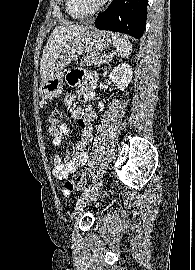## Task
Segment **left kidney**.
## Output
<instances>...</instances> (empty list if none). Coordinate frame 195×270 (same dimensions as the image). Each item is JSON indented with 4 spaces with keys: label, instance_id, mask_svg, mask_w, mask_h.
<instances>
[{
    "label": "left kidney",
    "instance_id": "1",
    "mask_svg": "<svg viewBox=\"0 0 195 270\" xmlns=\"http://www.w3.org/2000/svg\"><path fill=\"white\" fill-rule=\"evenodd\" d=\"M132 76L133 71L131 66L126 63H122L113 68L109 75V78L119 90L123 91L128 87L129 83L131 82ZM98 108L100 111H103L104 104L102 102H99Z\"/></svg>",
    "mask_w": 195,
    "mask_h": 270
}]
</instances>
